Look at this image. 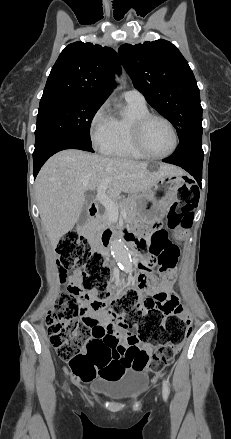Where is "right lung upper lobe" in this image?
Returning a JSON list of instances; mask_svg holds the SVG:
<instances>
[{
    "instance_id": "1",
    "label": "right lung upper lobe",
    "mask_w": 231,
    "mask_h": 439,
    "mask_svg": "<svg viewBox=\"0 0 231 439\" xmlns=\"http://www.w3.org/2000/svg\"><path fill=\"white\" fill-rule=\"evenodd\" d=\"M115 71H120V62L113 49L81 41L69 44L52 67L40 102L60 98L104 102L115 87Z\"/></svg>"
}]
</instances>
